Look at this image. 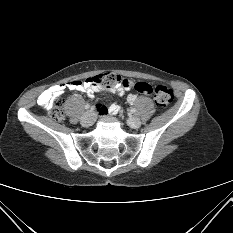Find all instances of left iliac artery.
Segmentation results:
<instances>
[{"mask_svg":"<svg viewBox=\"0 0 233 233\" xmlns=\"http://www.w3.org/2000/svg\"><path fill=\"white\" fill-rule=\"evenodd\" d=\"M130 112H131V113H135L136 110H135L134 108H131V109H130Z\"/></svg>","mask_w":233,"mask_h":233,"instance_id":"1","label":"left iliac artery"}]
</instances>
